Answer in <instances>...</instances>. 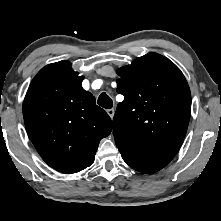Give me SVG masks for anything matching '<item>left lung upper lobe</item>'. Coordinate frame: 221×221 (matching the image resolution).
Returning a JSON list of instances; mask_svg holds the SVG:
<instances>
[{
  "label": "left lung upper lobe",
  "instance_id": "5c2ea615",
  "mask_svg": "<svg viewBox=\"0 0 221 221\" xmlns=\"http://www.w3.org/2000/svg\"><path fill=\"white\" fill-rule=\"evenodd\" d=\"M124 95L113 119L115 143L140 156L169 163L179 151L191 114V93L180 69L148 53L117 70Z\"/></svg>",
  "mask_w": 221,
  "mask_h": 221
}]
</instances>
